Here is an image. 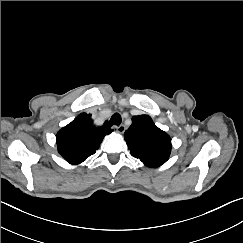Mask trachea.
Listing matches in <instances>:
<instances>
[{"mask_svg": "<svg viewBox=\"0 0 243 243\" xmlns=\"http://www.w3.org/2000/svg\"><path fill=\"white\" fill-rule=\"evenodd\" d=\"M121 121H122L121 116L118 113H114L110 119V125L119 126Z\"/></svg>", "mask_w": 243, "mask_h": 243, "instance_id": "obj_1", "label": "trachea"}]
</instances>
